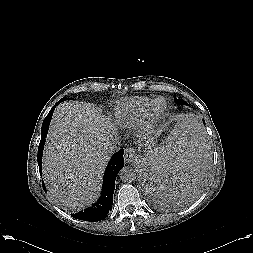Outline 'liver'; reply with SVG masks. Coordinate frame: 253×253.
<instances>
[{
	"mask_svg": "<svg viewBox=\"0 0 253 253\" xmlns=\"http://www.w3.org/2000/svg\"><path fill=\"white\" fill-rule=\"evenodd\" d=\"M115 134L110 121L88 103L56 107L43 154L44 179L55 203L79 210L99 197L110 158L105 146Z\"/></svg>",
	"mask_w": 253,
	"mask_h": 253,
	"instance_id": "liver-1",
	"label": "liver"
}]
</instances>
